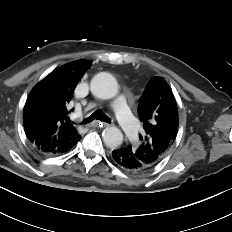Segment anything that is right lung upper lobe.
<instances>
[{
	"label": "right lung upper lobe",
	"instance_id": "cb5924a9",
	"mask_svg": "<svg viewBox=\"0 0 232 232\" xmlns=\"http://www.w3.org/2000/svg\"><path fill=\"white\" fill-rule=\"evenodd\" d=\"M92 61L79 60L55 69L38 82L24 106L23 123L28 140L41 153L69 151L80 139L70 123L67 105Z\"/></svg>",
	"mask_w": 232,
	"mask_h": 232
}]
</instances>
